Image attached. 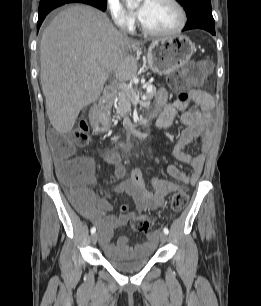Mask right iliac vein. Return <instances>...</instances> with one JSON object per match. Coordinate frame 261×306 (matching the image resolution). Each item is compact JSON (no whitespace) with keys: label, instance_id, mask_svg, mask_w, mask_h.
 Wrapping results in <instances>:
<instances>
[{"label":"right iliac vein","instance_id":"obj_1","mask_svg":"<svg viewBox=\"0 0 261 306\" xmlns=\"http://www.w3.org/2000/svg\"><path fill=\"white\" fill-rule=\"evenodd\" d=\"M97 240H98V234L97 233H93L91 235V242H92V244H96Z\"/></svg>","mask_w":261,"mask_h":306}]
</instances>
